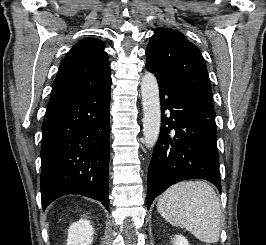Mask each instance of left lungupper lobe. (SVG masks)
I'll list each match as a JSON object with an SVG mask.
<instances>
[{
    "instance_id": "obj_1",
    "label": "left lung upper lobe",
    "mask_w": 266,
    "mask_h": 245,
    "mask_svg": "<svg viewBox=\"0 0 266 245\" xmlns=\"http://www.w3.org/2000/svg\"><path fill=\"white\" fill-rule=\"evenodd\" d=\"M146 66L210 106L211 84L199 49L182 33L158 28L146 49Z\"/></svg>"
}]
</instances>
